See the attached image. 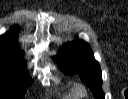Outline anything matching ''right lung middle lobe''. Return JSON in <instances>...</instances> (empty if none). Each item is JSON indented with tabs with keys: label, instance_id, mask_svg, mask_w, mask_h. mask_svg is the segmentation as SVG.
<instances>
[{
	"label": "right lung middle lobe",
	"instance_id": "dd1d6c3e",
	"mask_svg": "<svg viewBox=\"0 0 128 99\" xmlns=\"http://www.w3.org/2000/svg\"><path fill=\"white\" fill-rule=\"evenodd\" d=\"M31 83L23 58H0V99H22Z\"/></svg>",
	"mask_w": 128,
	"mask_h": 99
}]
</instances>
